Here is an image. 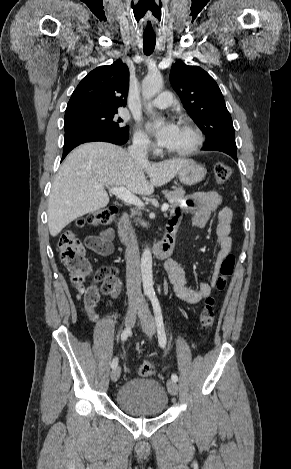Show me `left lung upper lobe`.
<instances>
[{"label": "left lung upper lobe", "instance_id": "obj_1", "mask_svg": "<svg viewBox=\"0 0 291 469\" xmlns=\"http://www.w3.org/2000/svg\"><path fill=\"white\" fill-rule=\"evenodd\" d=\"M170 81L190 117L204 131V147L236 144L232 118L221 90L206 71L177 61L171 68Z\"/></svg>", "mask_w": 291, "mask_h": 469}]
</instances>
